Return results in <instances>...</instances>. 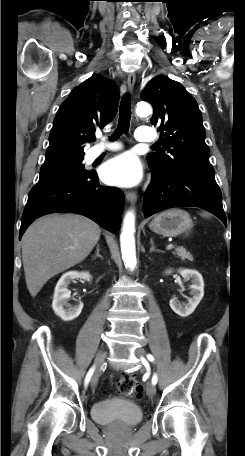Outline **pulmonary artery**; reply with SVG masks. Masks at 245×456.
Masks as SVG:
<instances>
[{
	"instance_id": "pulmonary-artery-1",
	"label": "pulmonary artery",
	"mask_w": 245,
	"mask_h": 456,
	"mask_svg": "<svg viewBox=\"0 0 245 456\" xmlns=\"http://www.w3.org/2000/svg\"><path fill=\"white\" fill-rule=\"evenodd\" d=\"M135 138L139 142H153L156 140V132L149 127H139L136 130ZM120 146L115 143H101L94 146L89 152V159L94 160L106 151H113L119 149Z\"/></svg>"
}]
</instances>
